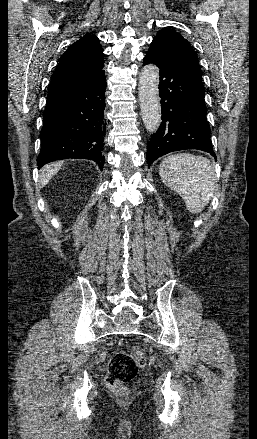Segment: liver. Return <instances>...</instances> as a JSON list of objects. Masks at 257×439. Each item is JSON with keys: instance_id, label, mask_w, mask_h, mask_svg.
Wrapping results in <instances>:
<instances>
[{"instance_id": "6515ba94", "label": "liver", "mask_w": 257, "mask_h": 439, "mask_svg": "<svg viewBox=\"0 0 257 439\" xmlns=\"http://www.w3.org/2000/svg\"><path fill=\"white\" fill-rule=\"evenodd\" d=\"M62 163H53L45 166L40 174V186H45L49 180L59 171Z\"/></svg>"}]
</instances>
